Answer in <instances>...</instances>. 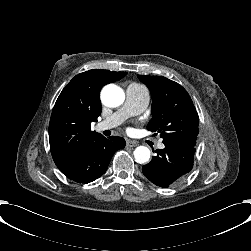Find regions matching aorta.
I'll use <instances>...</instances> for the list:
<instances>
[{
  "mask_svg": "<svg viewBox=\"0 0 251 251\" xmlns=\"http://www.w3.org/2000/svg\"><path fill=\"white\" fill-rule=\"evenodd\" d=\"M102 103L109 107H117L125 100V93L122 88L115 84H108L101 91ZM135 161L145 164L150 160V150L146 146H138L134 152Z\"/></svg>",
  "mask_w": 251,
  "mask_h": 251,
  "instance_id": "1",
  "label": "aorta"
}]
</instances>
